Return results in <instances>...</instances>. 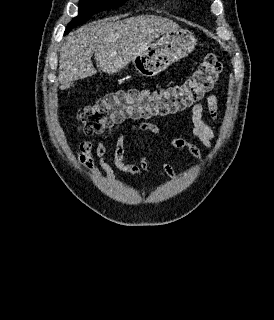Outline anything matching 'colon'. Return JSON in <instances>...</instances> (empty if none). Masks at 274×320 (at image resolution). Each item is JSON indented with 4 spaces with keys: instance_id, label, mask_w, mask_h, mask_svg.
<instances>
[{
    "instance_id": "1",
    "label": "colon",
    "mask_w": 274,
    "mask_h": 320,
    "mask_svg": "<svg viewBox=\"0 0 274 320\" xmlns=\"http://www.w3.org/2000/svg\"><path fill=\"white\" fill-rule=\"evenodd\" d=\"M222 64L214 52L207 53L192 76L181 84L164 88L120 89L86 105L78 116L81 131L95 135L128 119L167 115L204 98L212 88Z\"/></svg>"
}]
</instances>
